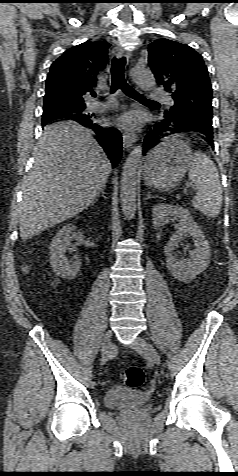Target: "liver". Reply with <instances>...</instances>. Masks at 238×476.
I'll return each mask as SVG.
<instances>
[{"mask_svg":"<svg viewBox=\"0 0 238 476\" xmlns=\"http://www.w3.org/2000/svg\"><path fill=\"white\" fill-rule=\"evenodd\" d=\"M110 172L111 163L91 130L72 121L46 126L23 181L20 237L29 239L87 209Z\"/></svg>","mask_w":238,"mask_h":476,"instance_id":"1","label":"liver"}]
</instances>
